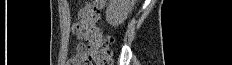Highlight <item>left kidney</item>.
I'll use <instances>...</instances> for the list:
<instances>
[{"label":"left kidney","instance_id":"left-kidney-1","mask_svg":"<svg viewBox=\"0 0 232 65\" xmlns=\"http://www.w3.org/2000/svg\"><path fill=\"white\" fill-rule=\"evenodd\" d=\"M135 0H110L106 9V20L112 26L122 24L132 11Z\"/></svg>","mask_w":232,"mask_h":65}]
</instances>
